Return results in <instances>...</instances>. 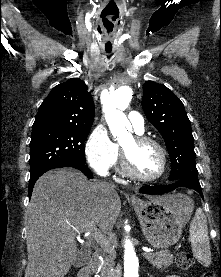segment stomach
<instances>
[{
	"instance_id": "obj_1",
	"label": "stomach",
	"mask_w": 221,
	"mask_h": 277,
	"mask_svg": "<svg viewBox=\"0 0 221 277\" xmlns=\"http://www.w3.org/2000/svg\"><path fill=\"white\" fill-rule=\"evenodd\" d=\"M131 203L144 236L157 249L168 248L180 239L193 207L190 199L182 197L176 204H169L161 197L148 201L136 199Z\"/></svg>"
}]
</instances>
